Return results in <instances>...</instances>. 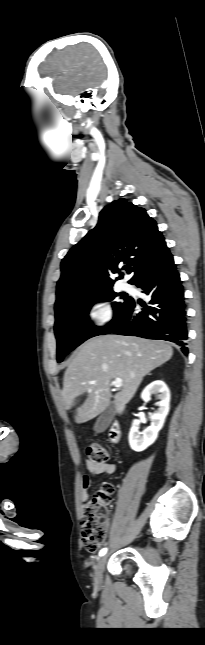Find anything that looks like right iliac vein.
Wrapping results in <instances>:
<instances>
[{"mask_svg": "<svg viewBox=\"0 0 205 645\" xmlns=\"http://www.w3.org/2000/svg\"><path fill=\"white\" fill-rule=\"evenodd\" d=\"M108 555H104L98 559L95 567L94 582L96 585H101L103 579V570L107 562Z\"/></svg>", "mask_w": 205, "mask_h": 645, "instance_id": "63e3f726", "label": "right iliac vein"}]
</instances>
